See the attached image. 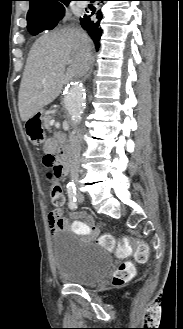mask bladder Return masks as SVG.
Instances as JSON below:
<instances>
[{"mask_svg": "<svg viewBox=\"0 0 183 329\" xmlns=\"http://www.w3.org/2000/svg\"><path fill=\"white\" fill-rule=\"evenodd\" d=\"M51 249L59 278L71 284L97 285L112 268L111 256L105 249L80 240L72 232L55 233Z\"/></svg>", "mask_w": 183, "mask_h": 329, "instance_id": "31cf9c89", "label": "bladder"}]
</instances>
